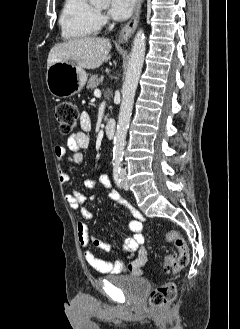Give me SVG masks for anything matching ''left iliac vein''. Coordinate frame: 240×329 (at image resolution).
I'll return each instance as SVG.
<instances>
[{
  "label": "left iliac vein",
  "mask_w": 240,
  "mask_h": 329,
  "mask_svg": "<svg viewBox=\"0 0 240 329\" xmlns=\"http://www.w3.org/2000/svg\"><path fill=\"white\" fill-rule=\"evenodd\" d=\"M121 179H122V186H123L124 190H128V183H127L125 173H121Z\"/></svg>",
  "instance_id": "left-iliac-vein-1"
}]
</instances>
